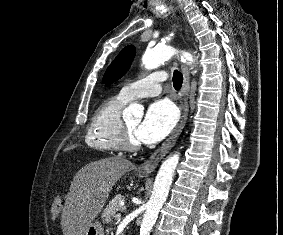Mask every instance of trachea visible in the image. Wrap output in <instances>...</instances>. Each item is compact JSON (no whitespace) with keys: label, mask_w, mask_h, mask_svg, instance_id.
<instances>
[{"label":"trachea","mask_w":283,"mask_h":235,"mask_svg":"<svg viewBox=\"0 0 283 235\" xmlns=\"http://www.w3.org/2000/svg\"><path fill=\"white\" fill-rule=\"evenodd\" d=\"M183 82V76L182 74L178 71L175 70L173 73V86L176 90H179L182 86Z\"/></svg>","instance_id":"1"}]
</instances>
